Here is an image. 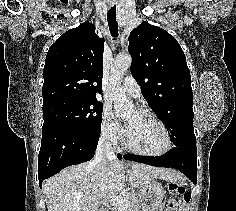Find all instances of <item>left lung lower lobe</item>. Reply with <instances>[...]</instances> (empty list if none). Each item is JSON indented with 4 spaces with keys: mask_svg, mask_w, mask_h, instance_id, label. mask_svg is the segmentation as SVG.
Here are the masks:
<instances>
[{
    "mask_svg": "<svg viewBox=\"0 0 236 211\" xmlns=\"http://www.w3.org/2000/svg\"><path fill=\"white\" fill-rule=\"evenodd\" d=\"M126 160L136 161L157 167L176 168L185 174L194 184L197 183V155L196 148L182 149L173 148L160 157H149L139 155H124Z\"/></svg>",
    "mask_w": 236,
    "mask_h": 211,
    "instance_id": "1",
    "label": "left lung lower lobe"
}]
</instances>
